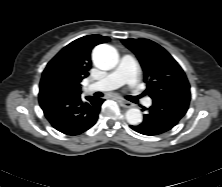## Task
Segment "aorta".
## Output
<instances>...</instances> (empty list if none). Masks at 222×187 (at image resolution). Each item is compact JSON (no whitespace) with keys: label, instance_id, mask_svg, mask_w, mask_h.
Instances as JSON below:
<instances>
[{"label":"aorta","instance_id":"obj_1","mask_svg":"<svg viewBox=\"0 0 222 187\" xmlns=\"http://www.w3.org/2000/svg\"><path fill=\"white\" fill-rule=\"evenodd\" d=\"M94 64L101 69H113L119 62L117 50L108 44L96 46L92 53ZM125 118L130 125H139L143 116L138 108H131L126 112Z\"/></svg>","mask_w":222,"mask_h":187}]
</instances>
